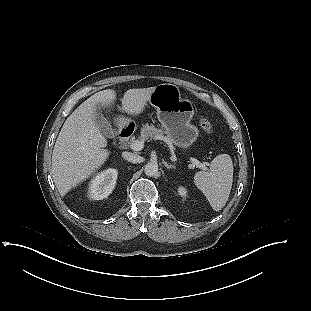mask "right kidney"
<instances>
[{
  "mask_svg": "<svg viewBox=\"0 0 311 311\" xmlns=\"http://www.w3.org/2000/svg\"><path fill=\"white\" fill-rule=\"evenodd\" d=\"M117 176L107 177L98 174L91 179L88 188V195L93 200H102L106 198L114 189Z\"/></svg>",
  "mask_w": 311,
  "mask_h": 311,
  "instance_id": "obj_1",
  "label": "right kidney"
}]
</instances>
